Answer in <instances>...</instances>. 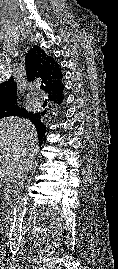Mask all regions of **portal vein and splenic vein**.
I'll list each match as a JSON object with an SVG mask.
<instances>
[{"label":"portal vein and splenic vein","mask_w":118,"mask_h":269,"mask_svg":"<svg viewBox=\"0 0 118 269\" xmlns=\"http://www.w3.org/2000/svg\"><path fill=\"white\" fill-rule=\"evenodd\" d=\"M0 177H4V172H0Z\"/></svg>","instance_id":"1"}]
</instances>
